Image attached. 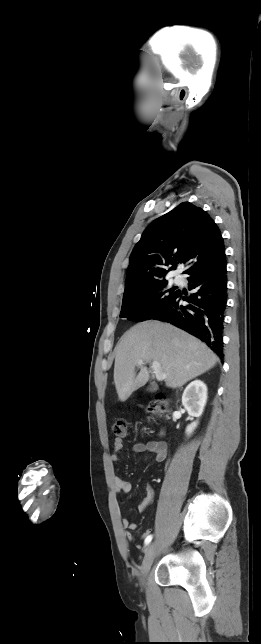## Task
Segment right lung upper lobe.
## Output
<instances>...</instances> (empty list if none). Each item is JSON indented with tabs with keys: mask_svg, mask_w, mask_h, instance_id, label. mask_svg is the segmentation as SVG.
Masks as SVG:
<instances>
[{
	"mask_svg": "<svg viewBox=\"0 0 261 644\" xmlns=\"http://www.w3.org/2000/svg\"><path fill=\"white\" fill-rule=\"evenodd\" d=\"M224 256L223 238L214 220L201 208L184 202L143 232L130 256L125 289L163 280L179 263L187 270ZM162 265L172 267L167 270Z\"/></svg>",
	"mask_w": 261,
	"mask_h": 644,
	"instance_id": "obj_1",
	"label": "right lung upper lobe"
}]
</instances>
